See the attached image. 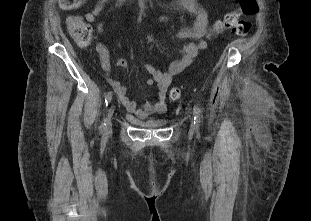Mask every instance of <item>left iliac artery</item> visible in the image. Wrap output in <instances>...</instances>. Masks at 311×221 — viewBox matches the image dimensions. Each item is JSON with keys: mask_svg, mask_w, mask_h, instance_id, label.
Returning <instances> with one entry per match:
<instances>
[{"mask_svg": "<svg viewBox=\"0 0 311 221\" xmlns=\"http://www.w3.org/2000/svg\"><path fill=\"white\" fill-rule=\"evenodd\" d=\"M200 122H201L200 109L197 106V104H195V106H194V123L199 125Z\"/></svg>", "mask_w": 311, "mask_h": 221, "instance_id": "obj_1", "label": "left iliac artery"}]
</instances>
